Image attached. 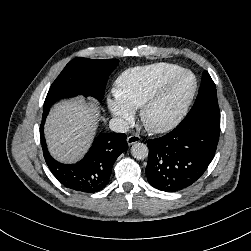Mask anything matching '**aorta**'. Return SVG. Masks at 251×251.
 <instances>
[{"label":"aorta","mask_w":251,"mask_h":251,"mask_svg":"<svg viewBox=\"0 0 251 251\" xmlns=\"http://www.w3.org/2000/svg\"><path fill=\"white\" fill-rule=\"evenodd\" d=\"M148 147L143 143H135L131 147L132 156L138 160H143L148 156Z\"/></svg>","instance_id":"762f6f07"}]
</instances>
